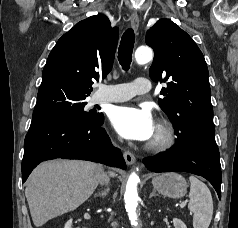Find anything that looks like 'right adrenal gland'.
Here are the masks:
<instances>
[{
	"label": "right adrenal gland",
	"instance_id": "right-adrenal-gland-1",
	"mask_svg": "<svg viewBox=\"0 0 238 228\" xmlns=\"http://www.w3.org/2000/svg\"><path fill=\"white\" fill-rule=\"evenodd\" d=\"M109 192V187H106L103 191H99L94 194L95 197H102L104 198Z\"/></svg>",
	"mask_w": 238,
	"mask_h": 228
}]
</instances>
